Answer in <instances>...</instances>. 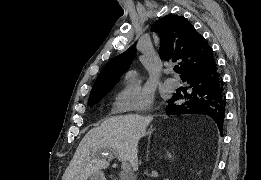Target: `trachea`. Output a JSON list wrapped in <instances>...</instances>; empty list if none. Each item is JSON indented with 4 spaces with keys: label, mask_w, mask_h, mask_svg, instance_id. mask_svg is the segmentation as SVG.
<instances>
[{
    "label": "trachea",
    "mask_w": 261,
    "mask_h": 180,
    "mask_svg": "<svg viewBox=\"0 0 261 180\" xmlns=\"http://www.w3.org/2000/svg\"><path fill=\"white\" fill-rule=\"evenodd\" d=\"M174 71L178 72L179 71V67L178 66L174 67Z\"/></svg>",
    "instance_id": "3493384b"
}]
</instances>
